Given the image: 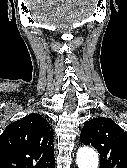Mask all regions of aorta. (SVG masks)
<instances>
[{
	"label": "aorta",
	"instance_id": "762f6f07",
	"mask_svg": "<svg viewBox=\"0 0 127 168\" xmlns=\"http://www.w3.org/2000/svg\"><path fill=\"white\" fill-rule=\"evenodd\" d=\"M77 164L79 168H98V154L90 147H81L77 152Z\"/></svg>",
	"mask_w": 127,
	"mask_h": 168
}]
</instances>
